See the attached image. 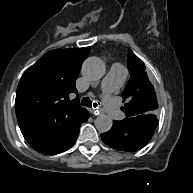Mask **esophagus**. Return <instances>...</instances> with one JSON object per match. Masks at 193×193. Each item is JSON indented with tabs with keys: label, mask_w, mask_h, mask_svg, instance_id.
Masks as SVG:
<instances>
[{
	"label": "esophagus",
	"mask_w": 193,
	"mask_h": 193,
	"mask_svg": "<svg viewBox=\"0 0 193 193\" xmlns=\"http://www.w3.org/2000/svg\"><path fill=\"white\" fill-rule=\"evenodd\" d=\"M91 113L95 116H98L100 114V110L97 107H93Z\"/></svg>",
	"instance_id": "34e87169"
}]
</instances>
